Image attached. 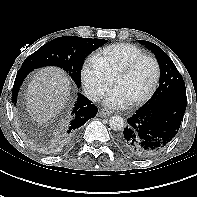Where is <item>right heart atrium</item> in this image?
<instances>
[{"mask_svg":"<svg viewBox=\"0 0 197 197\" xmlns=\"http://www.w3.org/2000/svg\"><path fill=\"white\" fill-rule=\"evenodd\" d=\"M81 78L85 91L92 100H99L113 84V78L96 63L93 57L83 64Z\"/></svg>","mask_w":197,"mask_h":197,"instance_id":"right-heart-atrium-1","label":"right heart atrium"}]
</instances>
